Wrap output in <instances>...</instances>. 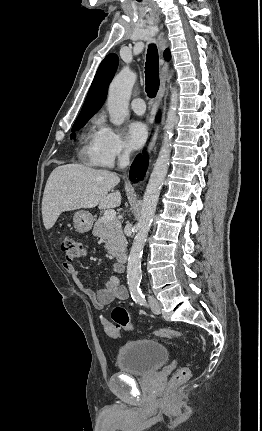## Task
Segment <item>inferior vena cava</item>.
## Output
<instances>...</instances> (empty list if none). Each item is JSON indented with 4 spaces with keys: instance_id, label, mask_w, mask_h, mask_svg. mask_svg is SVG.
<instances>
[{
    "instance_id": "inferior-vena-cava-1",
    "label": "inferior vena cava",
    "mask_w": 262,
    "mask_h": 431,
    "mask_svg": "<svg viewBox=\"0 0 262 431\" xmlns=\"http://www.w3.org/2000/svg\"><path fill=\"white\" fill-rule=\"evenodd\" d=\"M129 164V152L124 150L122 154L118 156V166L124 168Z\"/></svg>"
}]
</instances>
